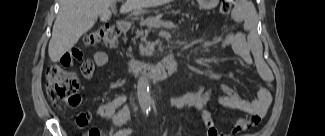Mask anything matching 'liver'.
<instances>
[{"mask_svg": "<svg viewBox=\"0 0 325 136\" xmlns=\"http://www.w3.org/2000/svg\"><path fill=\"white\" fill-rule=\"evenodd\" d=\"M115 0H60L48 53L52 62H57L70 50L79 38L88 32L100 17L103 21L111 18L110 6ZM169 0H126L120 8L121 13L132 12L137 15L145 7L162 5Z\"/></svg>", "mask_w": 325, "mask_h": 136, "instance_id": "obj_1", "label": "liver"}]
</instances>
